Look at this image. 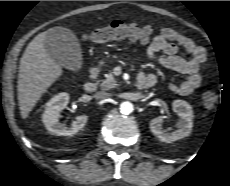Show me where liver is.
<instances>
[{"label": "liver", "mask_w": 230, "mask_h": 186, "mask_svg": "<svg viewBox=\"0 0 230 186\" xmlns=\"http://www.w3.org/2000/svg\"><path fill=\"white\" fill-rule=\"evenodd\" d=\"M48 31L38 34L26 47L19 65L18 103L26 119L41 96L63 73L45 46Z\"/></svg>", "instance_id": "obj_1"}]
</instances>
